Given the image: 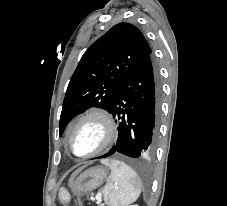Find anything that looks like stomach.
I'll return each instance as SVG.
<instances>
[{
    "label": "stomach",
    "mask_w": 227,
    "mask_h": 206,
    "mask_svg": "<svg viewBox=\"0 0 227 206\" xmlns=\"http://www.w3.org/2000/svg\"><path fill=\"white\" fill-rule=\"evenodd\" d=\"M106 179L107 170L104 167H92L77 177L71 189L77 197H81L100 187ZM70 206H75V203L71 202Z\"/></svg>",
    "instance_id": "obj_1"
}]
</instances>
